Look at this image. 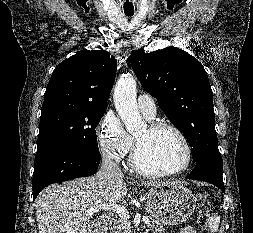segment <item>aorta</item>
<instances>
[{"instance_id": "1", "label": "aorta", "mask_w": 253, "mask_h": 233, "mask_svg": "<svg viewBox=\"0 0 253 233\" xmlns=\"http://www.w3.org/2000/svg\"><path fill=\"white\" fill-rule=\"evenodd\" d=\"M136 80L130 74L122 75L114 88L116 110L129 133H136L145 127L136 100Z\"/></svg>"}]
</instances>
